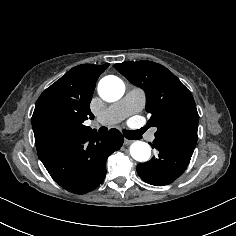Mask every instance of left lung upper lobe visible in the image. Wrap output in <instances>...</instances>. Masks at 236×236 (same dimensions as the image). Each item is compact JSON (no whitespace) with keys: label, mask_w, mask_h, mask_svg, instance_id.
I'll return each mask as SVG.
<instances>
[{"label":"left lung upper lobe","mask_w":236,"mask_h":236,"mask_svg":"<svg viewBox=\"0 0 236 236\" xmlns=\"http://www.w3.org/2000/svg\"><path fill=\"white\" fill-rule=\"evenodd\" d=\"M114 67L146 93L147 125L156 138L195 147L199 116L191 92L167 68L151 61L123 62Z\"/></svg>","instance_id":"1"}]
</instances>
